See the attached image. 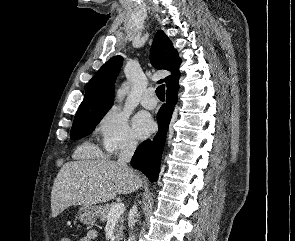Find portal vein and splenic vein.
<instances>
[{
  "instance_id": "obj_1",
  "label": "portal vein and splenic vein",
  "mask_w": 295,
  "mask_h": 241,
  "mask_svg": "<svg viewBox=\"0 0 295 241\" xmlns=\"http://www.w3.org/2000/svg\"><path fill=\"white\" fill-rule=\"evenodd\" d=\"M125 206L123 203L115 204L108 213V221H116L124 213Z\"/></svg>"
}]
</instances>
